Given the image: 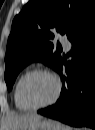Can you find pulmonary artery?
I'll return each instance as SVG.
<instances>
[{
    "mask_svg": "<svg viewBox=\"0 0 95 130\" xmlns=\"http://www.w3.org/2000/svg\"><path fill=\"white\" fill-rule=\"evenodd\" d=\"M60 42L62 43V45L64 46V48L66 49V50H68L69 49V47H70V42L68 41V39L66 38V37H61L60 38Z\"/></svg>",
    "mask_w": 95,
    "mask_h": 130,
    "instance_id": "e3ab8cb5",
    "label": "pulmonary artery"
}]
</instances>
